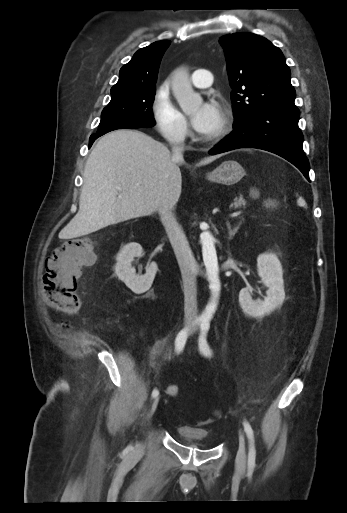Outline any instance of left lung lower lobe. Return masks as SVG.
<instances>
[{"label":"left lung lower lobe","instance_id":"obj_1","mask_svg":"<svg viewBox=\"0 0 347 513\" xmlns=\"http://www.w3.org/2000/svg\"><path fill=\"white\" fill-rule=\"evenodd\" d=\"M297 107L262 109L234 123V131L209 153L257 148L275 153L295 165L309 179V162L303 151Z\"/></svg>","mask_w":347,"mask_h":513}]
</instances>
